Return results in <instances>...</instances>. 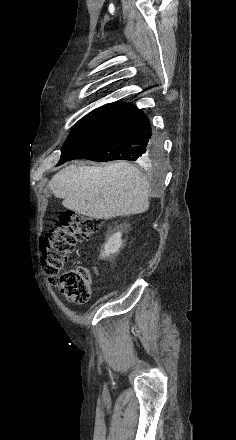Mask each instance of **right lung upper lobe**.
Segmentation results:
<instances>
[{
	"label": "right lung upper lobe",
	"instance_id": "obj_1",
	"mask_svg": "<svg viewBox=\"0 0 236 440\" xmlns=\"http://www.w3.org/2000/svg\"><path fill=\"white\" fill-rule=\"evenodd\" d=\"M123 104H125V102H115V103L106 104L105 106L116 108V107H119V106H121Z\"/></svg>",
	"mask_w": 236,
	"mask_h": 440
}]
</instances>
